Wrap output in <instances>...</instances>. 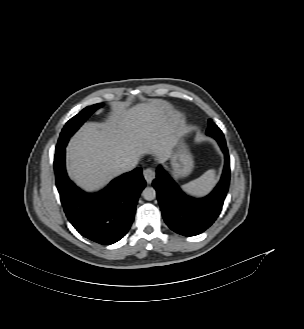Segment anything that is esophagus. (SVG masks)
Returning a JSON list of instances; mask_svg holds the SVG:
<instances>
[{
	"mask_svg": "<svg viewBox=\"0 0 304 329\" xmlns=\"http://www.w3.org/2000/svg\"><path fill=\"white\" fill-rule=\"evenodd\" d=\"M143 176L148 184H151L153 179L155 178V172L152 168H146L143 171Z\"/></svg>",
	"mask_w": 304,
	"mask_h": 329,
	"instance_id": "34e87169",
	"label": "esophagus"
}]
</instances>
